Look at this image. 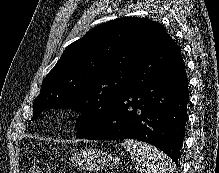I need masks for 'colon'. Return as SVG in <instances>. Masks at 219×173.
<instances>
[{
	"mask_svg": "<svg viewBox=\"0 0 219 173\" xmlns=\"http://www.w3.org/2000/svg\"><path fill=\"white\" fill-rule=\"evenodd\" d=\"M30 173H50L48 163L42 159L33 161Z\"/></svg>",
	"mask_w": 219,
	"mask_h": 173,
	"instance_id": "colon-1",
	"label": "colon"
}]
</instances>
